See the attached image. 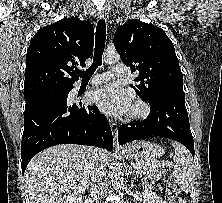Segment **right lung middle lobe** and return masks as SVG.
<instances>
[{"mask_svg":"<svg viewBox=\"0 0 222 203\" xmlns=\"http://www.w3.org/2000/svg\"><path fill=\"white\" fill-rule=\"evenodd\" d=\"M56 89H58V88L42 90V91H38V92H35V93H30V94H24V97H25V99H27V98H29V97H31V96H33V95L46 93V92L53 91V90H56Z\"/></svg>","mask_w":222,"mask_h":203,"instance_id":"right-lung-middle-lobe-1","label":"right lung middle lobe"}]
</instances>
